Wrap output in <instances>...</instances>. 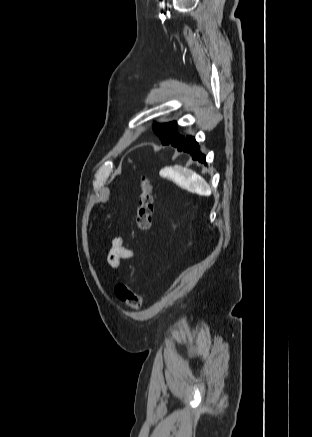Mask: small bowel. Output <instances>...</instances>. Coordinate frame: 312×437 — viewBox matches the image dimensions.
<instances>
[{"mask_svg":"<svg viewBox=\"0 0 312 437\" xmlns=\"http://www.w3.org/2000/svg\"><path fill=\"white\" fill-rule=\"evenodd\" d=\"M131 256L132 252L124 246L123 240L116 238L107 252L106 259L112 268L117 269L122 260L129 259Z\"/></svg>","mask_w":312,"mask_h":437,"instance_id":"c3829d8e","label":"small bowel"}]
</instances>
